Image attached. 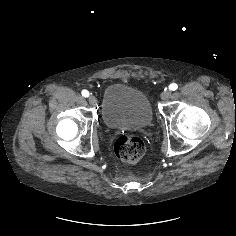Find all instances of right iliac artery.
<instances>
[{"mask_svg": "<svg viewBox=\"0 0 236 236\" xmlns=\"http://www.w3.org/2000/svg\"><path fill=\"white\" fill-rule=\"evenodd\" d=\"M81 93H82V96H84V97L89 96V92L87 90H83Z\"/></svg>", "mask_w": 236, "mask_h": 236, "instance_id": "obj_1", "label": "right iliac artery"}]
</instances>
